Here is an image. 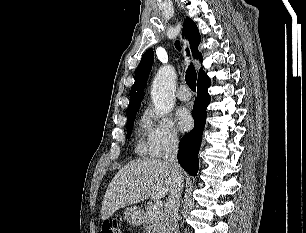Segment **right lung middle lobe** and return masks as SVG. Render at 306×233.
Returning a JSON list of instances; mask_svg holds the SVG:
<instances>
[{
	"instance_id": "dd1d6c3e",
	"label": "right lung middle lobe",
	"mask_w": 306,
	"mask_h": 233,
	"mask_svg": "<svg viewBox=\"0 0 306 233\" xmlns=\"http://www.w3.org/2000/svg\"><path fill=\"white\" fill-rule=\"evenodd\" d=\"M136 113L137 112L127 116V135H126V138H129V136H130V133H131L132 127H133V123H134V120L136 118Z\"/></svg>"
}]
</instances>
